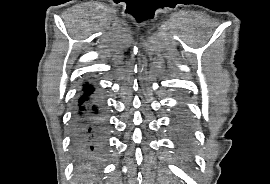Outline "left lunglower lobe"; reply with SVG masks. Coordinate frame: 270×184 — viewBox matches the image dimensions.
Returning a JSON list of instances; mask_svg holds the SVG:
<instances>
[{
	"instance_id": "0a47b994",
	"label": "left lung lower lobe",
	"mask_w": 270,
	"mask_h": 184,
	"mask_svg": "<svg viewBox=\"0 0 270 184\" xmlns=\"http://www.w3.org/2000/svg\"><path fill=\"white\" fill-rule=\"evenodd\" d=\"M172 131L175 136L179 152L187 156L191 152L192 128L184 111H180L172 124Z\"/></svg>"
}]
</instances>
